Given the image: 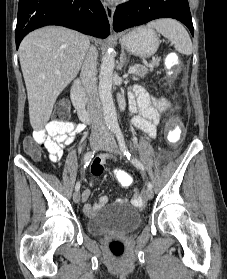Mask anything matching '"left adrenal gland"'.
I'll return each mask as SVG.
<instances>
[{"mask_svg":"<svg viewBox=\"0 0 227 279\" xmlns=\"http://www.w3.org/2000/svg\"><path fill=\"white\" fill-rule=\"evenodd\" d=\"M126 63H128V60L125 58V52L124 50H122L121 55H120V63H119V70H121L123 68L124 65H126Z\"/></svg>","mask_w":227,"mask_h":279,"instance_id":"1","label":"left adrenal gland"}]
</instances>
